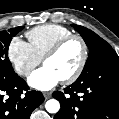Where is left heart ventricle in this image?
<instances>
[{
    "label": "left heart ventricle",
    "instance_id": "b2bd125f",
    "mask_svg": "<svg viewBox=\"0 0 119 119\" xmlns=\"http://www.w3.org/2000/svg\"><path fill=\"white\" fill-rule=\"evenodd\" d=\"M82 58V47L79 41L68 43L56 56L47 59L45 66L50 67L61 80L72 74Z\"/></svg>",
    "mask_w": 119,
    "mask_h": 119
}]
</instances>
